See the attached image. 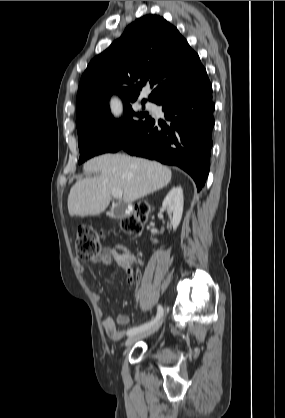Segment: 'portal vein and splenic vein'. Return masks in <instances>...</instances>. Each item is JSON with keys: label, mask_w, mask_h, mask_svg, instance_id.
<instances>
[{"label": "portal vein and splenic vein", "mask_w": 285, "mask_h": 418, "mask_svg": "<svg viewBox=\"0 0 285 418\" xmlns=\"http://www.w3.org/2000/svg\"><path fill=\"white\" fill-rule=\"evenodd\" d=\"M122 191L121 190H113L112 191V195H113V197L114 198H116V199H121L122 198Z\"/></svg>", "instance_id": "portal-vein-and-splenic-vein-1"}]
</instances>
